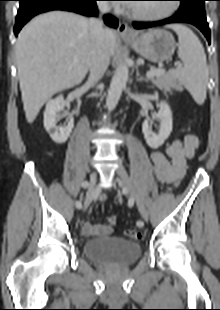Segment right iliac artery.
Wrapping results in <instances>:
<instances>
[{"label": "right iliac artery", "mask_w": 220, "mask_h": 310, "mask_svg": "<svg viewBox=\"0 0 220 310\" xmlns=\"http://www.w3.org/2000/svg\"><path fill=\"white\" fill-rule=\"evenodd\" d=\"M87 186H88V182H83V183H82V187L86 188ZM76 207H77L78 209H81V208H82V203H81V201H77V202H76Z\"/></svg>", "instance_id": "right-iliac-artery-1"}]
</instances>
